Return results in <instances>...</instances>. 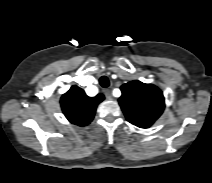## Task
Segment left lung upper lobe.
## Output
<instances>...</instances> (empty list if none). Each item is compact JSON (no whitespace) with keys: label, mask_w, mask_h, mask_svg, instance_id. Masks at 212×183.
I'll return each mask as SVG.
<instances>
[{"label":"left lung upper lobe","mask_w":212,"mask_h":183,"mask_svg":"<svg viewBox=\"0 0 212 183\" xmlns=\"http://www.w3.org/2000/svg\"><path fill=\"white\" fill-rule=\"evenodd\" d=\"M121 91L119 104L130 123L148 128L162 114L165 107L164 96L155 85L135 80L123 84Z\"/></svg>","instance_id":"left-lung-upper-lobe-1"}]
</instances>
